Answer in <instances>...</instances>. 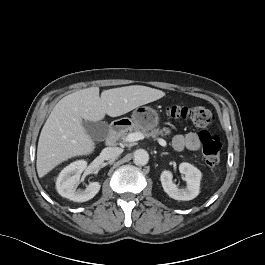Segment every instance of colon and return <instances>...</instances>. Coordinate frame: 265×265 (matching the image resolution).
I'll list each match as a JSON object with an SVG mask.
<instances>
[{"instance_id":"5ec220e1","label":"colon","mask_w":265,"mask_h":265,"mask_svg":"<svg viewBox=\"0 0 265 265\" xmlns=\"http://www.w3.org/2000/svg\"><path fill=\"white\" fill-rule=\"evenodd\" d=\"M168 115L176 119H189L197 128L202 129L199 139L204 160L211 170H216L220 163L221 142L219 136L206 130L214 121L212 110L202 106L173 105L169 107Z\"/></svg>"}]
</instances>
